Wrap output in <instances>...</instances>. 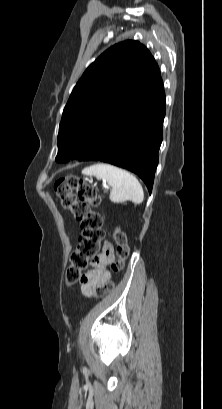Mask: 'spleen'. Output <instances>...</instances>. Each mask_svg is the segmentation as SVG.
I'll return each instance as SVG.
<instances>
[{
	"label": "spleen",
	"instance_id": "obj_1",
	"mask_svg": "<svg viewBox=\"0 0 222 409\" xmlns=\"http://www.w3.org/2000/svg\"><path fill=\"white\" fill-rule=\"evenodd\" d=\"M82 174L95 176L98 180L107 182L112 187L110 200L113 203L132 201L134 204H141L143 202L144 192L141 184L126 170L106 163H97L84 168Z\"/></svg>",
	"mask_w": 222,
	"mask_h": 409
}]
</instances>
